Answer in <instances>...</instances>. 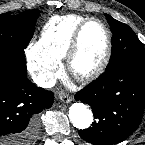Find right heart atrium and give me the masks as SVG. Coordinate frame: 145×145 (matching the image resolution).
I'll use <instances>...</instances> for the list:
<instances>
[{
	"label": "right heart atrium",
	"mask_w": 145,
	"mask_h": 145,
	"mask_svg": "<svg viewBox=\"0 0 145 145\" xmlns=\"http://www.w3.org/2000/svg\"><path fill=\"white\" fill-rule=\"evenodd\" d=\"M27 59L32 74L40 84L49 86L55 81L61 69L60 60L42 52L37 43L28 47Z\"/></svg>",
	"instance_id": "1"
}]
</instances>
